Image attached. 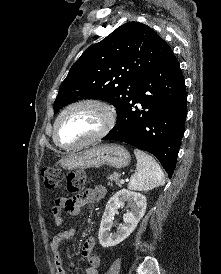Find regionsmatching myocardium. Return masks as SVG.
Returning <instances> with one entry per match:
<instances>
[{"mask_svg": "<svg viewBox=\"0 0 221 274\" xmlns=\"http://www.w3.org/2000/svg\"><path fill=\"white\" fill-rule=\"evenodd\" d=\"M82 106L95 107L101 112L103 116V124L101 128L94 135L77 144L61 143L58 139V128H59L60 121L69 111H71L74 108L82 107ZM115 123H116V112L114 108L112 107V105H110L108 102L100 99H95V98L80 99L67 105L57 116L54 123V128H53V140L56 145H58L59 147L63 149H68V150L79 149L84 146L90 145L94 142H97L98 140L105 137L113 129Z\"/></svg>", "mask_w": 221, "mask_h": 274, "instance_id": "obj_1", "label": "myocardium"}]
</instances>
